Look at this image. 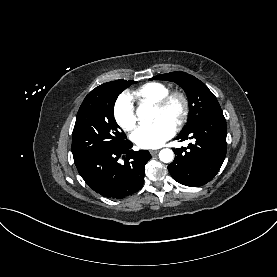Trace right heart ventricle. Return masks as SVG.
<instances>
[{
	"label": "right heart ventricle",
	"mask_w": 277,
	"mask_h": 277,
	"mask_svg": "<svg viewBox=\"0 0 277 277\" xmlns=\"http://www.w3.org/2000/svg\"><path fill=\"white\" fill-rule=\"evenodd\" d=\"M170 91L169 87L161 82L146 83L132 92V96L139 102L155 104Z\"/></svg>",
	"instance_id": "1"
}]
</instances>
